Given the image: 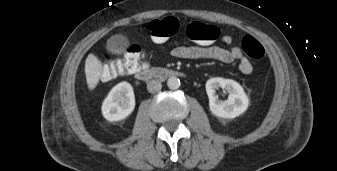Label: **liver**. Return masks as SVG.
Instances as JSON below:
<instances>
[{
  "instance_id": "liver-1",
  "label": "liver",
  "mask_w": 337,
  "mask_h": 171,
  "mask_svg": "<svg viewBox=\"0 0 337 171\" xmlns=\"http://www.w3.org/2000/svg\"><path fill=\"white\" fill-rule=\"evenodd\" d=\"M102 70V62L94 54H89L85 61V74L90 90H93L98 85Z\"/></svg>"
}]
</instances>
